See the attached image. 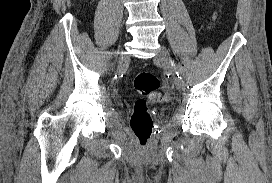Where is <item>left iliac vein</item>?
<instances>
[{
	"label": "left iliac vein",
	"mask_w": 272,
	"mask_h": 183,
	"mask_svg": "<svg viewBox=\"0 0 272 183\" xmlns=\"http://www.w3.org/2000/svg\"><path fill=\"white\" fill-rule=\"evenodd\" d=\"M154 61L157 64L163 66L171 74H174L175 67L172 65V58L166 47L164 46L160 47L157 55L154 58ZM173 82L178 89L184 88V82L180 80L179 78H177L176 76H174Z\"/></svg>",
	"instance_id": "obj_1"
}]
</instances>
